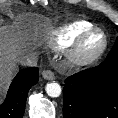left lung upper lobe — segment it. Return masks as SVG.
<instances>
[{"label": "left lung upper lobe", "instance_id": "5c2ea615", "mask_svg": "<svg viewBox=\"0 0 118 118\" xmlns=\"http://www.w3.org/2000/svg\"><path fill=\"white\" fill-rule=\"evenodd\" d=\"M113 58H118V37L116 39V42H115L113 48L109 52L106 60L113 59Z\"/></svg>", "mask_w": 118, "mask_h": 118}]
</instances>
